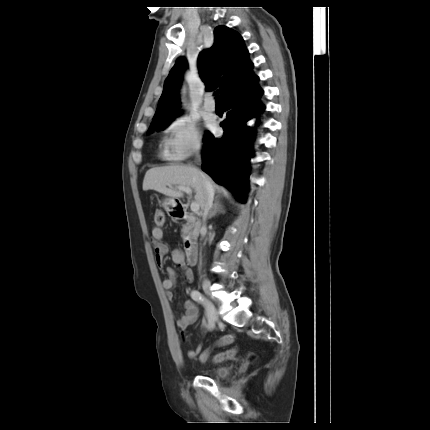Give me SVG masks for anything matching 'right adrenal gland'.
<instances>
[{
    "label": "right adrenal gland",
    "instance_id": "1",
    "mask_svg": "<svg viewBox=\"0 0 430 430\" xmlns=\"http://www.w3.org/2000/svg\"><path fill=\"white\" fill-rule=\"evenodd\" d=\"M224 212L222 205L220 204L219 200L216 199L215 203L212 207V209L210 210V213L208 215V219L213 218L214 216L217 215V213H222Z\"/></svg>",
    "mask_w": 430,
    "mask_h": 430
}]
</instances>
